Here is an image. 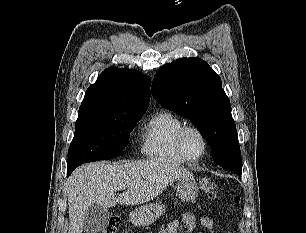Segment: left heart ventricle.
Instances as JSON below:
<instances>
[{
    "label": "left heart ventricle",
    "mask_w": 306,
    "mask_h": 233,
    "mask_svg": "<svg viewBox=\"0 0 306 233\" xmlns=\"http://www.w3.org/2000/svg\"><path fill=\"white\" fill-rule=\"evenodd\" d=\"M183 145L187 156L197 158L203 152V143L199 135L194 131L186 133Z\"/></svg>",
    "instance_id": "1"
}]
</instances>
